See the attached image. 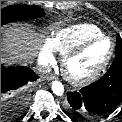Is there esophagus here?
Listing matches in <instances>:
<instances>
[{
  "label": "esophagus",
  "mask_w": 122,
  "mask_h": 122,
  "mask_svg": "<svg viewBox=\"0 0 122 122\" xmlns=\"http://www.w3.org/2000/svg\"><path fill=\"white\" fill-rule=\"evenodd\" d=\"M44 78L48 81H51V80H54L55 79V76L54 75H45Z\"/></svg>",
  "instance_id": "obj_1"
}]
</instances>
